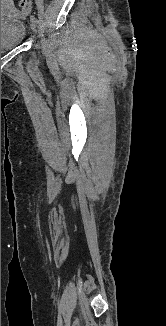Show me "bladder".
<instances>
[{
	"instance_id": "31cf9c89",
	"label": "bladder",
	"mask_w": 166,
	"mask_h": 326,
	"mask_svg": "<svg viewBox=\"0 0 166 326\" xmlns=\"http://www.w3.org/2000/svg\"><path fill=\"white\" fill-rule=\"evenodd\" d=\"M25 34V24L20 18L1 15V53L18 47Z\"/></svg>"
}]
</instances>
